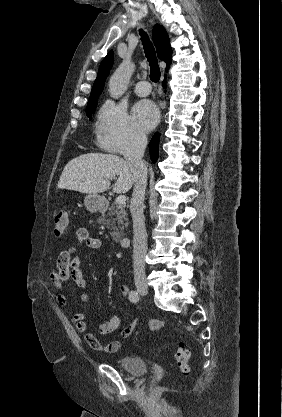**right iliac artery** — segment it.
<instances>
[{"mask_svg": "<svg viewBox=\"0 0 282 417\" xmlns=\"http://www.w3.org/2000/svg\"><path fill=\"white\" fill-rule=\"evenodd\" d=\"M140 297L137 291H131L130 295H129V300L132 303H137L139 301Z\"/></svg>", "mask_w": 282, "mask_h": 417, "instance_id": "right-iliac-artery-1", "label": "right iliac artery"}]
</instances>
